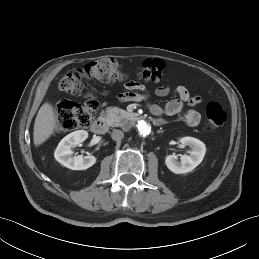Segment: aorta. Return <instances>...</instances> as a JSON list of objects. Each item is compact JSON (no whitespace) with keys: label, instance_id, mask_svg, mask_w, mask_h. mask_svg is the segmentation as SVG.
I'll return each mask as SVG.
<instances>
[{"label":"aorta","instance_id":"aorta-1","mask_svg":"<svg viewBox=\"0 0 259 259\" xmlns=\"http://www.w3.org/2000/svg\"><path fill=\"white\" fill-rule=\"evenodd\" d=\"M136 132L141 137H146L151 133V126L148 122L140 120L136 123L135 126Z\"/></svg>","mask_w":259,"mask_h":259}]
</instances>
